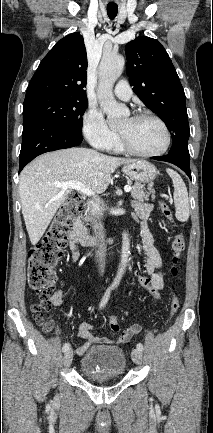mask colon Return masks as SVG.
<instances>
[{
  "mask_svg": "<svg viewBox=\"0 0 213 433\" xmlns=\"http://www.w3.org/2000/svg\"><path fill=\"white\" fill-rule=\"evenodd\" d=\"M82 208V198L77 194L70 195L59 207L40 241L29 250L28 284L32 290L41 296L40 301L32 305L31 313L39 324L45 322L46 315L50 311L49 297L54 291L56 281L54 268L64 253L69 229ZM160 209L163 217L173 222V212L166 202H160ZM174 225L178 227L176 224ZM171 249L173 252L171 273L176 276L178 274L177 264L185 249V238L180 231L173 235ZM179 307L178 297L172 294L170 316H174ZM109 324L113 331L117 332L119 330V322L116 316L111 317ZM131 335L130 330H125L122 333V338L127 340Z\"/></svg>",
  "mask_w": 213,
  "mask_h": 433,
  "instance_id": "5ec220e1",
  "label": "colon"
}]
</instances>
